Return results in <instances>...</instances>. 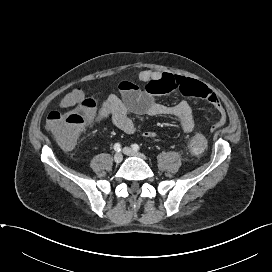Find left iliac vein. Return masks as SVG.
Segmentation results:
<instances>
[{"mask_svg":"<svg viewBox=\"0 0 272 272\" xmlns=\"http://www.w3.org/2000/svg\"><path fill=\"white\" fill-rule=\"evenodd\" d=\"M123 153L128 155V156H135V157H139V158H142V159H146V156L142 153H139L129 147H125L123 149Z\"/></svg>","mask_w":272,"mask_h":272,"instance_id":"1","label":"left iliac vein"}]
</instances>
